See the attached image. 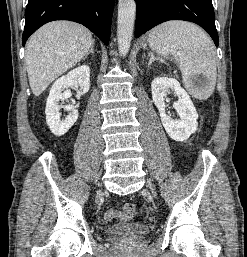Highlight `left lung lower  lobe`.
<instances>
[{"instance_id":"obj_1","label":"left lung lower lobe","mask_w":247,"mask_h":257,"mask_svg":"<svg viewBox=\"0 0 247 257\" xmlns=\"http://www.w3.org/2000/svg\"><path fill=\"white\" fill-rule=\"evenodd\" d=\"M136 2V38L162 22L185 20L205 29L218 46V33L211 0H136Z\"/></svg>"}]
</instances>
